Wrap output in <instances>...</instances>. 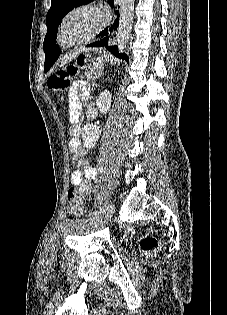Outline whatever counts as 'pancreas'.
I'll return each instance as SVG.
<instances>
[{"mask_svg": "<svg viewBox=\"0 0 227 315\" xmlns=\"http://www.w3.org/2000/svg\"><path fill=\"white\" fill-rule=\"evenodd\" d=\"M101 67L95 65H89L86 67V76L88 80H95L97 75H99Z\"/></svg>", "mask_w": 227, "mask_h": 315, "instance_id": "pancreas-1", "label": "pancreas"}]
</instances>
